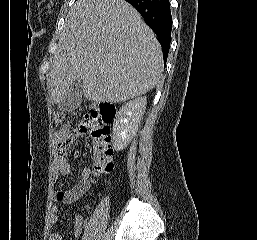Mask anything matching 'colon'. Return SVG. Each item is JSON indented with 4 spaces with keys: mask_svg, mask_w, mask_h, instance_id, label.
I'll return each instance as SVG.
<instances>
[{
    "mask_svg": "<svg viewBox=\"0 0 257 240\" xmlns=\"http://www.w3.org/2000/svg\"><path fill=\"white\" fill-rule=\"evenodd\" d=\"M114 114L115 109L112 105H90L81 124L86 131H89L92 138L94 152L92 173L95 178L110 173L114 168L109 130V123Z\"/></svg>",
    "mask_w": 257,
    "mask_h": 240,
    "instance_id": "obj_1",
    "label": "colon"
}]
</instances>
